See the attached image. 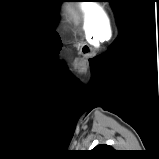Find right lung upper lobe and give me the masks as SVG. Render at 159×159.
<instances>
[{
	"label": "right lung upper lobe",
	"mask_w": 159,
	"mask_h": 159,
	"mask_svg": "<svg viewBox=\"0 0 159 159\" xmlns=\"http://www.w3.org/2000/svg\"><path fill=\"white\" fill-rule=\"evenodd\" d=\"M92 151H94L97 154H103L106 152L113 151V148L111 146H108V145H98Z\"/></svg>",
	"instance_id": "right-lung-upper-lobe-1"
}]
</instances>
